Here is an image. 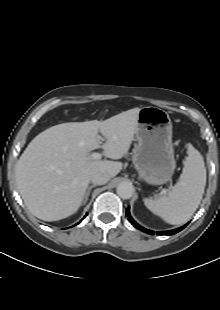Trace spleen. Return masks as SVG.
<instances>
[{
	"label": "spleen",
	"instance_id": "obj_1",
	"mask_svg": "<svg viewBox=\"0 0 220 310\" xmlns=\"http://www.w3.org/2000/svg\"><path fill=\"white\" fill-rule=\"evenodd\" d=\"M183 172L167 196L144 199L145 206L172 225L190 219L198 208L206 185V168L203 157L191 144L187 149Z\"/></svg>",
	"mask_w": 220,
	"mask_h": 310
}]
</instances>
